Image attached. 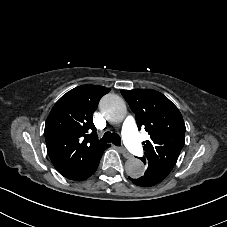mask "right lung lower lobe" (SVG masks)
<instances>
[{
    "label": "right lung lower lobe",
    "instance_id": "right-lung-lower-lobe-1",
    "mask_svg": "<svg viewBox=\"0 0 227 227\" xmlns=\"http://www.w3.org/2000/svg\"><path fill=\"white\" fill-rule=\"evenodd\" d=\"M102 154L103 152H100L92 157L88 156V161L82 167H79L77 163H74L71 166L55 168L60 174L68 179L82 181L90 177L96 171Z\"/></svg>",
    "mask_w": 227,
    "mask_h": 227
}]
</instances>
